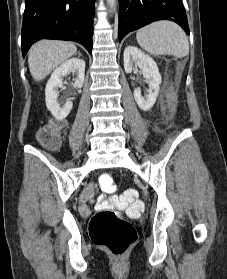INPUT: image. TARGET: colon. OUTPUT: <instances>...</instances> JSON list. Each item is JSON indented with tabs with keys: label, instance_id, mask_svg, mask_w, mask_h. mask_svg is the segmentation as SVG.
Instances as JSON below:
<instances>
[{
	"label": "colon",
	"instance_id": "obj_1",
	"mask_svg": "<svg viewBox=\"0 0 227 279\" xmlns=\"http://www.w3.org/2000/svg\"><path fill=\"white\" fill-rule=\"evenodd\" d=\"M61 125L50 124L38 132V141L48 150H55L61 142ZM116 179L104 175L100 178V186L104 192L116 187ZM134 190L125 195L132 198ZM116 198V196H113ZM90 234L96 243L104 245L115 255L123 254L137 237L134 227L117 212L106 209L96 212L90 222Z\"/></svg>",
	"mask_w": 227,
	"mask_h": 279
}]
</instances>
